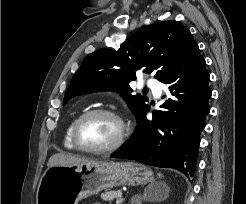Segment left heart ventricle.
I'll return each mask as SVG.
<instances>
[{"mask_svg":"<svg viewBox=\"0 0 246 204\" xmlns=\"http://www.w3.org/2000/svg\"><path fill=\"white\" fill-rule=\"evenodd\" d=\"M118 134L117 122L106 115H94L80 126L79 141L86 148H103L110 145Z\"/></svg>","mask_w":246,"mask_h":204,"instance_id":"b2bd125f","label":"left heart ventricle"}]
</instances>
